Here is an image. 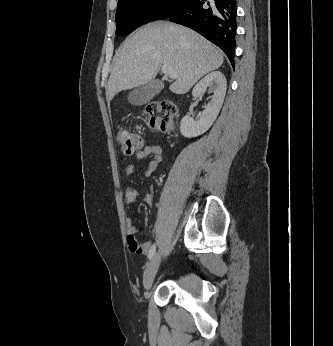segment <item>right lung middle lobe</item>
<instances>
[{
    "mask_svg": "<svg viewBox=\"0 0 333 346\" xmlns=\"http://www.w3.org/2000/svg\"><path fill=\"white\" fill-rule=\"evenodd\" d=\"M185 0H118L116 35L126 36L138 27L166 19L179 9Z\"/></svg>",
    "mask_w": 333,
    "mask_h": 346,
    "instance_id": "right-lung-middle-lobe-1",
    "label": "right lung middle lobe"
}]
</instances>
